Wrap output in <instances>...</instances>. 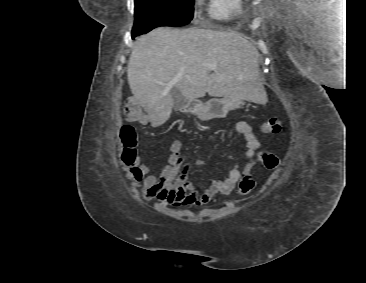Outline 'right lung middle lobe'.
<instances>
[{
  "label": "right lung middle lobe",
  "instance_id": "obj_1",
  "mask_svg": "<svg viewBox=\"0 0 366 283\" xmlns=\"http://www.w3.org/2000/svg\"><path fill=\"white\" fill-rule=\"evenodd\" d=\"M194 0H135L132 34L141 35L159 26H183L193 18Z\"/></svg>",
  "mask_w": 366,
  "mask_h": 283
}]
</instances>
